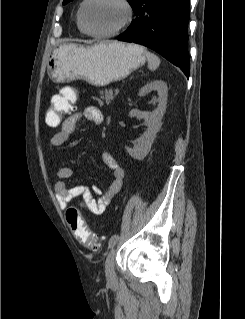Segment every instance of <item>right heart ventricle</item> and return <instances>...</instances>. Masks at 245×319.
Wrapping results in <instances>:
<instances>
[{"label":"right heart ventricle","mask_w":245,"mask_h":319,"mask_svg":"<svg viewBox=\"0 0 245 319\" xmlns=\"http://www.w3.org/2000/svg\"><path fill=\"white\" fill-rule=\"evenodd\" d=\"M81 5H82V4H81ZM79 13H80V9H79V11H78V13H77V25H78L79 30H80L81 32H84L83 29H82V27H81V25H80Z\"/></svg>","instance_id":"1"}]
</instances>
